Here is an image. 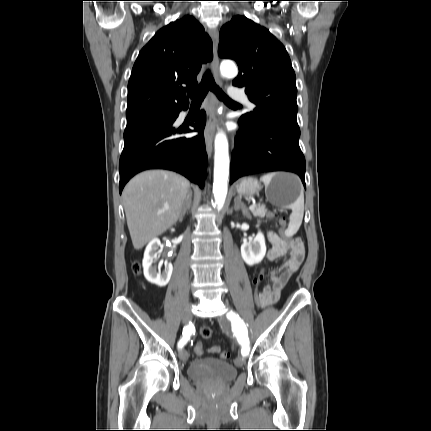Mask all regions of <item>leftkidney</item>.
<instances>
[{"mask_svg":"<svg viewBox=\"0 0 431 431\" xmlns=\"http://www.w3.org/2000/svg\"><path fill=\"white\" fill-rule=\"evenodd\" d=\"M266 253V245L264 235L259 232L253 241L244 242L241 245V256L244 262L253 266L262 261Z\"/></svg>","mask_w":431,"mask_h":431,"instance_id":"left-kidney-1","label":"left kidney"}]
</instances>
